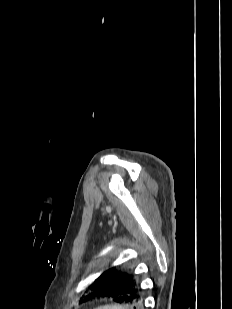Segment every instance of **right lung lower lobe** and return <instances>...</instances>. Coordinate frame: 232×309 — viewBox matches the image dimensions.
Here are the masks:
<instances>
[{
  "label": "right lung lower lobe",
  "instance_id": "obj_1",
  "mask_svg": "<svg viewBox=\"0 0 232 309\" xmlns=\"http://www.w3.org/2000/svg\"><path fill=\"white\" fill-rule=\"evenodd\" d=\"M130 276L131 277L118 279L111 285L94 288L92 292L88 294V299L95 297H112L116 302L130 304L133 306V309H141V289L136 284L133 276Z\"/></svg>",
  "mask_w": 232,
  "mask_h": 309
}]
</instances>
